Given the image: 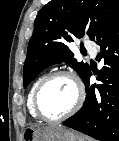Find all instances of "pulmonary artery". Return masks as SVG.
Instances as JSON below:
<instances>
[{"mask_svg":"<svg viewBox=\"0 0 119 141\" xmlns=\"http://www.w3.org/2000/svg\"><path fill=\"white\" fill-rule=\"evenodd\" d=\"M86 48L89 50L91 55L94 57L97 53L96 47L93 45V43L88 42L85 44Z\"/></svg>","mask_w":119,"mask_h":141,"instance_id":"e3ab8cb5","label":"pulmonary artery"}]
</instances>
